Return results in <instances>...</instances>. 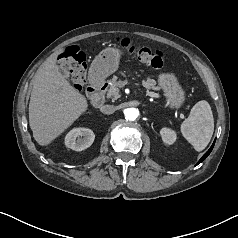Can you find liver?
I'll return each instance as SVG.
<instances>
[{"label":"liver","mask_w":238,"mask_h":238,"mask_svg":"<svg viewBox=\"0 0 238 238\" xmlns=\"http://www.w3.org/2000/svg\"><path fill=\"white\" fill-rule=\"evenodd\" d=\"M50 55L35 75L29 103V126L41 146L51 143L88 108L86 98L60 73L57 56Z\"/></svg>","instance_id":"6515ba94"}]
</instances>
